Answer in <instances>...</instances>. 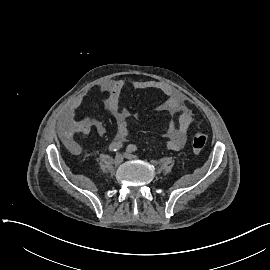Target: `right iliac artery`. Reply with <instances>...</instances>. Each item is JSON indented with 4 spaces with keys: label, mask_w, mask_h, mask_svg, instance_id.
<instances>
[{
    "label": "right iliac artery",
    "mask_w": 270,
    "mask_h": 270,
    "mask_svg": "<svg viewBox=\"0 0 270 270\" xmlns=\"http://www.w3.org/2000/svg\"><path fill=\"white\" fill-rule=\"evenodd\" d=\"M123 144L121 142H112L109 145V151L111 152H115L117 150H119L120 148H122Z\"/></svg>",
    "instance_id": "obj_1"
}]
</instances>
